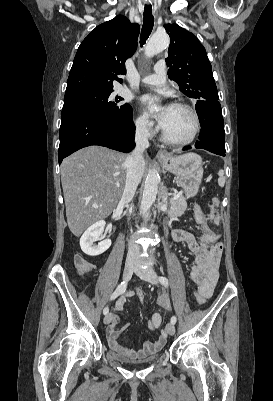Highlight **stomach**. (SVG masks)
<instances>
[{
	"instance_id": "obj_1",
	"label": "stomach",
	"mask_w": 273,
	"mask_h": 401,
	"mask_svg": "<svg viewBox=\"0 0 273 401\" xmlns=\"http://www.w3.org/2000/svg\"><path fill=\"white\" fill-rule=\"evenodd\" d=\"M167 154V158H158L163 168L178 176L179 186H182L187 198L195 196L203 178L201 156L196 152H185L179 156H174L172 152H167Z\"/></svg>"
}]
</instances>
